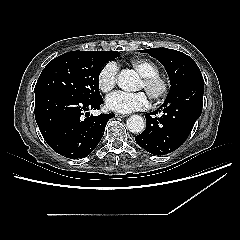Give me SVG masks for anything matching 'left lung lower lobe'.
Masks as SVG:
<instances>
[{
	"label": "left lung lower lobe",
	"instance_id": "1",
	"mask_svg": "<svg viewBox=\"0 0 240 240\" xmlns=\"http://www.w3.org/2000/svg\"><path fill=\"white\" fill-rule=\"evenodd\" d=\"M204 83L185 87L167 97L155 112L147 113L146 129L135 137L140 147L154 155H165L180 147L202 112ZM161 112V117L152 115Z\"/></svg>",
	"mask_w": 240,
	"mask_h": 240
}]
</instances>
